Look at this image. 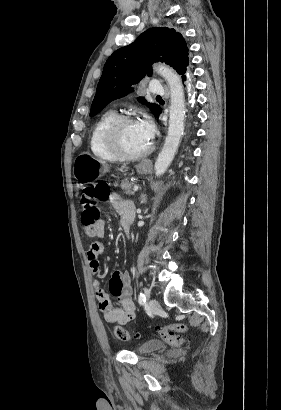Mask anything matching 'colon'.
<instances>
[{"instance_id": "colon-1", "label": "colon", "mask_w": 281, "mask_h": 410, "mask_svg": "<svg viewBox=\"0 0 281 410\" xmlns=\"http://www.w3.org/2000/svg\"><path fill=\"white\" fill-rule=\"evenodd\" d=\"M111 196L110 187L104 181L83 190L80 199L83 207L81 226L89 236L96 234V225L100 218L98 203L110 199ZM186 330L187 326L184 323L157 327L158 334L173 347H183L188 344L189 338L183 334ZM114 333L122 341H128L131 338V334L123 327H116Z\"/></svg>"}]
</instances>
